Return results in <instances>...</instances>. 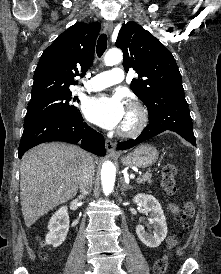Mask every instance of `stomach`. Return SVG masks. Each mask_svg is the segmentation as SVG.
<instances>
[{"label": "stomach", "instance_id": "obj_1", "mask_svg": "<svg viewBox=\"0 0 221 274\" xmlns=\"http://www.w3.org/2000/svg\"><path fill=\"white\" fill-rule=\"evenodd\" d=\"M158 155V151L154 146L143 144L129 154L122 156L121 161L129 167L147 168L157 161Z\"/></svg>", "mask_w": 221, "mask_h": 274}]
</instances>
